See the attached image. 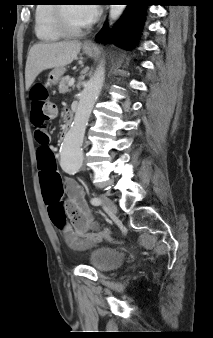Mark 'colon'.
Wrapping results in <instances>:
<instances>
[{
    "instance_id": "obj_1",
    "label": "colon",
    "mask_w": 213,
    "mask_h": 338,
    "mask_svg": "<svg viewBox=\"0 0 213 338\" xmlns=\"http://www.w3.org/2000/svg\"><path fill=\"white\" fill-rule=\"evenodd\" d=\"M31 113L30 120L35 126V139L40 144L39 157H46L50 150L48 144L52 140V133L45 126L56 114V105L49 99L48 88L44 84H36L30 90ZM50 215L55 224L60 225L65 219V208L60 202H56L50 209ZM107 240H112V235L108 231L102 232Z\"/></svg>"
}]
</instances>
